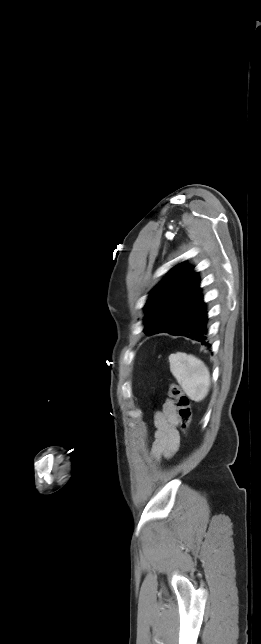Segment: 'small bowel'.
I'll use <instances>...</instances> for the list:
<instances>
[{"label": "small bowel", "instance_id": "c3829d8e", "mask_svg": "<svg viewBox=\"0 0 261 644\" xmlns=\"http://www.w3.org/2000/svg\"><path fill=\"white\" fill-rule=\"evenodd\" d=\"M154 442L151 448V456L155 460L170 458L178 450L180 444L178 418L175 405L172 400L167 399L162 409L154 414Z\"/></svg>", "mask_w": 261, "mask_h": 644}]
</instances>
